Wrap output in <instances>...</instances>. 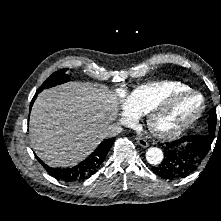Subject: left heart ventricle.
Here are the masks:
<instances>
[{
	"label": "left heart ventricle",
	"instance_id": "left-heart-ventricle-1",
	"mask_svg": "<svg viewBox=\"0 0 221 221\" xmlns=\"http://www.w3.org/2000/svg\"><path fill=\"white\" fill-rule=\"evenodd\" d=\"M198 97H189L167 110L160 118L159 125L173 127L185 120L199 106Z\"/></svg>",
	"mask_w": 221,
	"mask_h": 221
}]
</instances>
